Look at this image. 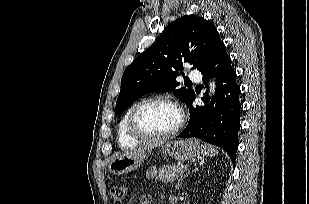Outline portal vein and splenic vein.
<instances>
[{
    "label": "portal vein and splenic vein",
    "instance_id": "18ae733b",
    "mask_svg": "<svg viewBox=\"0 0 309 204\" xmlns=\"http://www.w3.org/2000/svg\"><path fill=\"white\" fill-rule=\"evenodd\" d=\"M188 168V166L186 165L185 167H184V169H187Z\"/></svg>",
    "mask_w": 309,
    "mask_h": 204
}]
</instances>
